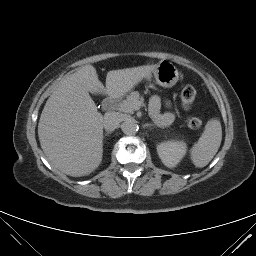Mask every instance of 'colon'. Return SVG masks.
<instances>
[{
    "label": "colon",
    "mask_w": 256,
    "mask_h": 256,
    "mask_svg": "<svg viewBox=\"0 0 256 256\" xmlns=\"http://www.w3.org/2000/svg\"><path fill=\"white\" fill-rule=\"evenodd\" d=\"M181 102L182 105L189 109L191 104L195 101L197 97V91L193 86H186L181 91ZM203 124V120L200 117H191L187 120V125L191 129H199Z\"/></svg>",
    "instance_id": "obj_1"
}]
</instances>
